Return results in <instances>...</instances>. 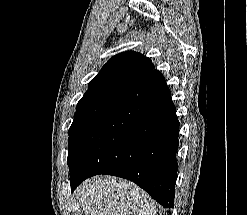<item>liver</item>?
Masks as SVG:
<instances>
[{
  "label": "liver",
  "mask_w": 247,
  "mask_h": 215,
  "mask_svg": "<svg viewBox=\"0 0 247 215\" xmlns=\"http://www.w3.org/2000/svg\"><path fill=\"white\" fill-rule=\"evenodd\" d=\"M85 215H156L147 193L110 176H96L76 190Z\"/></svg>",
  "instance_id": "6515ba94"
}]
</instances>
